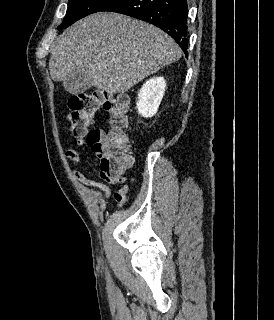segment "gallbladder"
<instances>
[{
	"label": "gallbladder",
	"mask_w": 274,
	"mask_h": 320,
	"mask_svg": "<svg viewBox=\"0 0 274 320\" xmlns=\"http://www.w3.org/2000/svg\"><path fill=\"white\" fill-rule=\"evenodd\" d=\"M65 89L68 95H83L86 90H90L91 84L86 78L85 68H72L64 78Z\"/></svg>",
	"instance_id": "obj_1"
}]
</instances>
